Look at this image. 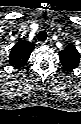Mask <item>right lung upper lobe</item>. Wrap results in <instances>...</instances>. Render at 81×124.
I'll return each instance as SVG.
<instances>
[{
  "label": "right lung upper lobe",
  "mask_w": 81,
  "mask_h": 124,
  "mask_svg": "<svg viewBox=\"0 0 81 124\" xmlns=\"http://www.w3.org/2000/svg\"><path fill=\"white\" fill-rule=\"evenodd\" d=\"M34 48L33 43L26 40H19L11 49L9 54V64L15 69L24 67Z\"/></svg>",
  "instance_id": "cb5924a9"
}]
</instances>
